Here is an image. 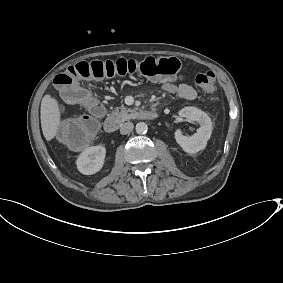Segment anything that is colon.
Segmentation results:
<instances>
[{
	"mask_svg": "<svg viewBox=\"0 0 283 283\" xmlns=\"http://www.w3.org/2000/svg\"><path fill=\"white\" fill-rule=\"evenodd\" d=\"M181 68V61L175 57H146L142 60L120 58L79 62L68 67L55 77L54 84L67 102L85 108L88 115L64 121L58 129L59 140L71 148L87 146L97 130L98 120L103 115L102 105L81 84L82 80L124 75L171 79ZM195 83L207 95H214L217 91V80L212 72L198 74Z\"/></svg>",
	"mask_w": 283,
	"mask_h": 283,
	"instance_id": "5ec220e1",
	"label": "colon"
}]
</instances>
